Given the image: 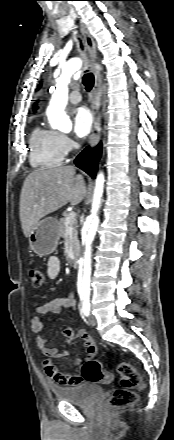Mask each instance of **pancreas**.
I'll return each mask as SVG.
<instances>
[{"label":"pancreas","instance_id":"obj_1","mask_svg":"<svg viewBox=\"0 0 174 440\" xmlns=\"http://www.w3.org/2000/svg\"><path fill=\"white\" fill-rule=\"evenodd\" d=\"M68 215L60 218L59 220V235L63 238L66 237L67 229H71V237L73 240L74 245L77 243V231H76V223L74 222L72 225L66 226L65 220Z\"/></svg>","mask_w":174,"mask_h":440}]
</instances>
